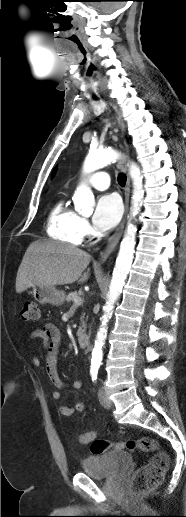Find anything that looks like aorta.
<instances>
[{
    "label": "aorta",
    "instance_id": "762f6f07",
    "mask_svg": "<svg viewBox=\"0 0 186 517\" xmlns=\"http://www.w3.org/2000/svg\"><path fill=\"white\" fill-rule=\"evenodd\" d=\"M119 157L120 154L111 148L91 150L84 161L83 173L88 174L102 168L111 162H115ZM129 174L133 182L130 215L113 270L107 301L104 306V315L101 318L102 324L97 333L95 345L92 351L91 370L93 371L98 370L101 365L103 358L102 347L107 335V324L111 318L114 304L122 292L133 261L137 228L131 221L140 211L144 190L142 184L143 177L141 175L140 168L135 163L130 164ZM73 201L75 209L81 213L92 211L95 204L94 195L90 187L85 183H82L77 187L73 196Z\"/></svg>",
    "mask_w": 186,
    "mask_h": 517
}]
</instances>
